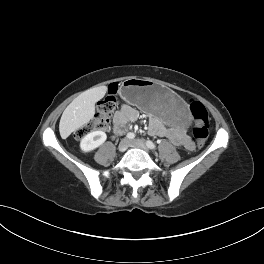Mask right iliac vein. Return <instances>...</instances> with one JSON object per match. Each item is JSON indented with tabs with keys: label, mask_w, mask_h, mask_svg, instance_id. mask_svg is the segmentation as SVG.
<instances>
[{
	"label": "right iliac vein",
	"mask_w": 264,
	"mask_h": 264,
	"mask_svg": "<svg viewBox=\"0 0 264 264\" xmlns=\"http://www.w3.org/2000/svg\"><path fill=\"white\" fill-rule=\"evenodd\" d=\"M129 142L127 139H122L118 145V150L120 152H125L128 148Z\"/></svg>",
	"instance_id": "right-iliac-vein-1"
}]
</instances>
